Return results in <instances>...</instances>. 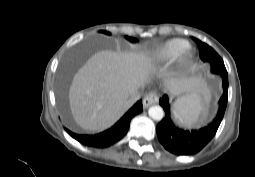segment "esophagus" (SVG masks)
<instances>
[{"mask_svg": "<svg viewBox=\"0 0 255 177\" xmlns=\"http://www.w3.org/2000/svg\"><path fill=\"white\" fill-rule=\"evenodd\" d=\"M159 98L155 92H149L146 94V96L143 98V107L147 108L150 105L156 104L158 102Z\"/></svg>", "mask_w": 255, "mask_h": 177, "instance_id": "34e87169", "label": "esophagus"}]
</instances>
